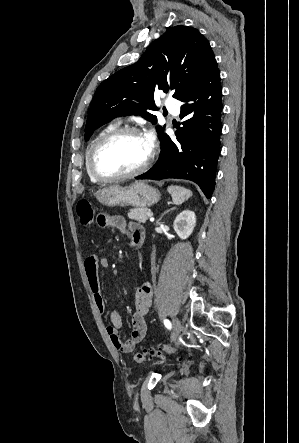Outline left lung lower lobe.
Returning a JSON list of instances; mask_svg holds the SVG:
<instances>
[{
  "label": "left lung lower lobe",
  "mask_w": 299,
  "mask_h": 443,
  "mask_svg": "<svg viewBox=\"0 0 299 443\" xmlns=\"http://www.w3.org/2000/svg\"><path fill=\"white\" fill-rule=\"evenodd\" d=\"M180 119L184 125L176 139L161 138L156 164L136 179L182 178L197 183L207 198L215 187L220 153L222 88L217 62L181 99Z\"/></svg>",
  "instance_id": "left-lung-lower-lobe-1"
}]
</instances>
